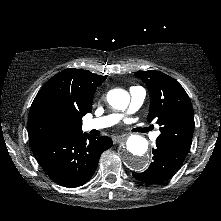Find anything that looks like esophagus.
<instances>
[{"label":"esophagus","instance_id":"esophagus-1","mask_svg":"<svg viewBox=\"0 0 221 221\" xmlns=\"http://www.w3.org/2000/svg\"><path fill=\"white\" fill-rule=\"evenodd\" d=\"M126 139V135L113 136L112 140L114 144H118Z\"/></svg>","mask_w":221,"mask_h":221}]
</instances>
